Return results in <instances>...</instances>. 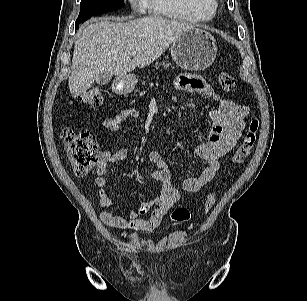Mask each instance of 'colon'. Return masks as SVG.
<instances>
[{
    "label": "colon",
    "instance_id": "1",
    "mask_svg": "<svg viewBox=\"0 0 307 301\" xmlns=\"http://www.w3.org/2000/svg\"><path fill=\"white\" fill-rule=\"evenodd\" d=\"M218 83L225 91H231L236 87L235 78L227 73L220 72L217 77ZM79 101L89 108H97L102 104L103 97L99 89L91 88L84 91L79 96ZM260 121L257 117H252L247 125L242 142L232 156V163L239 165L251 153L257 141V134ZM62 139L70 165L77 176L88 175L102 159L98 144L90 131L86 129L74 130L65 128L62 131ZM216 194L210 193L203 204L202 214L206 215L215 204ZM171 218L174 222H187L190 219V212L180 208L175 210Z\"/></svg>",
    "mask_w": 307,
    "mask_h": 301
}]
</instances>
